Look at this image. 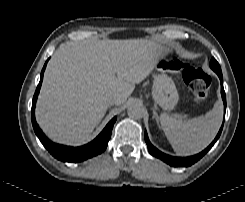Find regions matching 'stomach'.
<instances>
[{
  "label": "stomach",
  "mask_w": 245,
  "mask_h": 202,
  "mask_svg": "<svg viewBox=\"0 0 245 202\" xmlns=\"http://www.w3.org/2000/svg\"><path fill=\"white\" fill-rule=\"evenodd\" d=\"M168 61L164 55L156 62L159 74L154 75L152 98L163 110H173L179 100L178 91L171 77L166 74Z\"/></svg>",
  "instance_id": "0dacf381"
}]
</instances>
